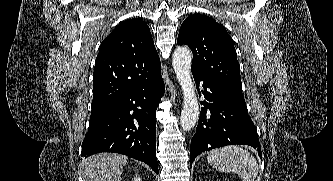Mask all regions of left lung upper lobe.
Here are the masks:
<instances>
[{"label":"left lung upper lobe","mask_w":333,"mask_h":181,"mask_svg":"<svg viewBox=\"0 0 333 181\" xmlns=\"http://www.w3.org/2000/svg\"><path fill=\"white\" fill-rule=\"evenodd\" d=\"M177 43L192 50V73L222 84L244 100L236 50L222 25L205 15H190L180 27Z\"/></svg>","instance_id":"obj_1"}]
</instances>
